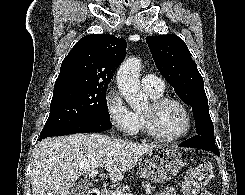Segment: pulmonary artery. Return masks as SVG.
<instances>
[{
    "label": "pulmonary artery",
    "instance_id": "1",
    "mask_svg": "<svg viewBox=\"0 0 245 195\" xmlns=\"http://www.w3.org/2000/svg\"><path fill=\"white\" fill-rule=\"evenodd\" d=\"M141 86L145 91L158 93L163 92L165 84L161 78L153 74H146L141 79Z\"/></svg>",
    "mask_w": 245,
    "mask_h": 195
}]
</instances>
